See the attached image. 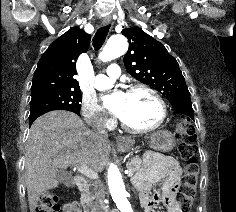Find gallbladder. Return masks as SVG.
Instances as JSON below:
<instances>
[{"label":"gallbladder","mask_w":236,"mask_h":212,"mask_svg":"<svg viewBox=\"0 0 236 212\" xmlns=\"http://www.w3.org/2000/svg\"><path fill=\"white\" fill-rule=\"evenodd\" d=\"M56 177L59 180V182L63 183L66 186H70L73 184L72 176L65 171L59 170L57 172Z\"/></svg>","instance_id":"obj_1"}]
</instances>
